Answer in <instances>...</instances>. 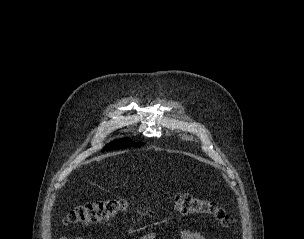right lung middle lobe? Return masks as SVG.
Wrapping results in <instances>:
<instances>
[{"label":"right lung middle lobe","instance_id":"1","mask_svg":"<svg viewBox=\"0 0 304 239\" xmlns=\"http://www.w3.org/2000/svg\"><path fill=\"white\" fill-rule=\"evenodd\" d=\"M144 145V143H140V142H132L131 140L127 139V138H123V139H119V140H116V141H113L109 144H107L105 146V148L102 150V151H110V150H116V149H123V148H129L131 146H134V147H140Z\"/></svg>","mask_w":304,"mask_h":239}]
</instances>
